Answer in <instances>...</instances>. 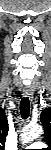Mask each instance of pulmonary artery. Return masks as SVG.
Listing matches in <instances>:
<instances>
[{"mask_svg": "<svg viewBox=\"0 0 51 150\" xmlns=\"http://www.w3.org/2000/svg\"><path fill=\"white\" fill-rule=\"evenodd\" d=\"M43 143H41V142H35V143H33V144H31L30 146H28V149H36V148H41V147H43Z\"/></svg>", "mask_w": 51, "mask_h": 150, "instance_id": "e3ab8cb5", "label": "pulmonary artery"}]
</instances>
